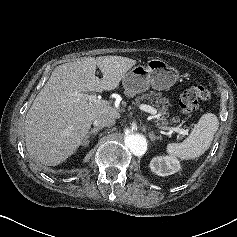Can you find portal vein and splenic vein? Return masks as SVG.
I'll use <instances>...</instances> for the list:
<instances>
[{
    "label": "portal vein and splenic vein",
    "mask_w": 237,
    "mask_h": 237,
    "mask_svg": "<svg viewBox=\"0 0 237 237\" xmlns=\"http://www.w3.org/2000/svg\"><path fill=\"white\" fill-rule=\"evenodd\" d=\"M81 96L86 97L90 102H93V103H97V104H101V105H109V102L106 101V100H102L101 96L86 95V94H82ZM139 109L154 115V117H157V115H156L157 110L154 107L150 106V105L140 104ZM167 129L172 131V132H177L178 134H181V135H188L187 130H184V129H181V128H178V127H169Z\"/></svg>",
    "instance_id": "1"
}]
</instances>
